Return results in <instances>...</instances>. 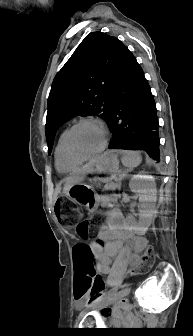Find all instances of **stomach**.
I'll return each instance as SVG.
<instances>
[{"instance_id": "1", "label": "stomach", "mask_w": 193, "mask_h": 336, "mask_svg": "<svg viewBox=\"0 0 193 336\" xmlns=\"http://www.w3.org/2000/svg\"><path fill=\"white\" fill-rule=\"evenodd\" d=\"M118 170L119 161L117 155L113 152H106L98 158L97 162L92 166L90 173L115 176ZM94 181H96V179H94ZM68 195L89 211H93L99 202V197L93 187L85 183L72 186Z\"/></svg>"}]
</instances>
